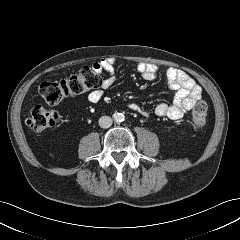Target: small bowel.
<instances>
[{"mask_svg":"<svg viewBox=\"0 0 240 240\" xmlns=\"http://www.w3.org/2000/svg\"><path fill=\"white\" fill-rule=\"evenodd\" d=\"M115 62V58L106 57L93 63V70L104 75V77L99 87L89 93L88 99L90 102L100 101L105 91L116 82ZM136 71L143 79L148 81L155 80L160 72L156 65L144 62L137 63ZM166 77L168 86L175 91V98L172 104L159 103L154 109V114L158 117L180 119L201 99L202 88L187 73L174 67L166 69ZM128 107L144 116L149 115L145 109L136 103H130Z\"/></svg>","mask_w":240,"mask_h":240,"instance_id":"1","label":"small bowel"}]
</instances>
